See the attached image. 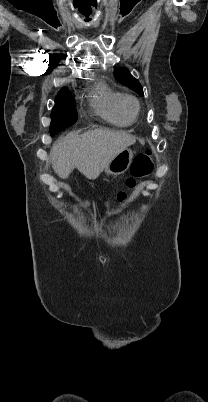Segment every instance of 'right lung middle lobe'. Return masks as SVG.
I'll return each mask as SVG.
<instances>
[{
	"label": "right lung middle lobe",
	"mask_w": 208,
	"mask_h": 402,
	"mask_svg": "<svg viewBox=\"0 0 208 402\" xmlns=\"http://www.w3.org/2000/svg\"><path fill=\"white\" fill-rule=\"evenodd\" d=\"M51 119V125H62L65 128L77 120L74 99L70 93L57 96Z\"/></svg>",
	"instance_id": "obj_1"
}]
</instances>
